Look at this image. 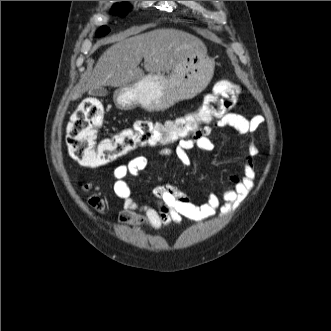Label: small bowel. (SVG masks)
<instances>
[{
    "mask_svg": "<svg viewBox=\"0 0 331 331\" xmlns=\"http://www.w3.org/2000/svg\"><path fill=\"white\" fill-rule=\"evenodd\" d=\"M263 123L264 118L261 115L245 118L236 113H227L212 126L197 130L192 136L179 140L173 148L161 149L158 154L174 156L183 165L188 166L189 150L211 152L214 149V143L210 138L213 128L221 130L231 128L241 134H253ZM257 153L258 148L251 140L244 158L242 175H231L230 187L223 189L220 194L208 193L206 202L200 205L190 202L184 192L169 184L154 189L153 194L158 202L156 207L137 203L132 197L126 177L138 176L148 167L149 159L145 156H137L128 163L120 164L113 170V191L122 200L123 206L119 219L130 226L160 229L172 223L180 224L183 218L201 222L210 219L216 213L220 216L227 215L242 204L254 186L253 158Z\"/></svg>",
    "mask_w": 331,
    "mask_h": 331,
    "instance_id": "obj_1",
    "label": "small bowel"
}]
</instances>
